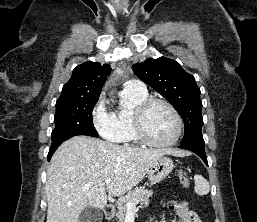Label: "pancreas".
Returning a JSON list of instances; mask_svg holds the SVG:
<instances>
[{"instance_id":"1","label":"pancreas","mask_w":257,"mask_h":222,"mask_svg":"<svg viewBox=\"0 0 257 222\" xmlns=\"http://www.w3.org/2000/svg\"><path fill=\"white\" fill-rule=\"evenodd\" d=\"M153 195L151 190L146 189V187H138L123 197H121L117 203L118 211L116 213V217L118 218V222H123L124 217L127 212V203L131 202L135 206L140 203L141 206H148L150 202V197Z\"/></svg>"}]
</instances>
